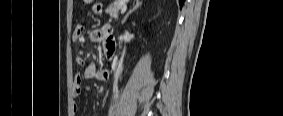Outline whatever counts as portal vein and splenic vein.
Returning a JSON list of instances; mask_svg holds the SVG:
<instances>
[{
	"label": "portal vein and splenic vein",
	"mask_w": 283,
	"mask_h": 116,
	"mask_svg": "<svg viewBox=\"0 0 283 116\" xmlns=\"http://www.w3.org/2000/svg\"><path fill=\"white\" fill-rule=\"evenodd\" d=\"M127 10V6L124 4L121 8V14H124Z\"/></svg>",
	"instance_id": "obj_1"
}]
</instances>
